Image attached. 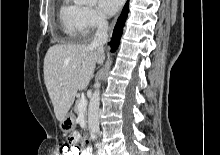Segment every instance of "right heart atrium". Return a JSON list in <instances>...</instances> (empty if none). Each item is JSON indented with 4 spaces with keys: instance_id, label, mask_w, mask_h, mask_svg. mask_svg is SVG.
I'll return each instance as SVG.
<instances>
[{
    "instance_id": "d8ad5b80",
    "label": "right heart atrium",
    "mask_w": 220,
    "mask_h": 155,
    "mask_svg": "<svg viewBox=\"0 0 220 155\" xmlns=\"http://www.w3.org/2000/svg\"><path fill=\"white\" fill-rule=\"evenodd\" d=\"M106 24L105 17L99 11L88 7L83 9L82 28L85 35L104 28Z\"/></svg>"
}]
</instances>
